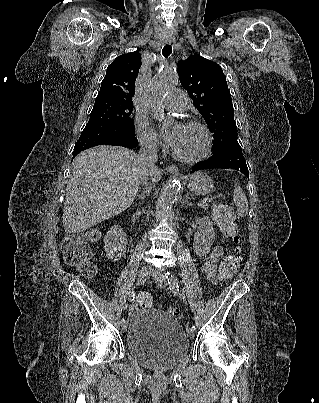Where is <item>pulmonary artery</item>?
<instances>
[{"instance_id": "1", "label": "pulmonary artery", "mask_w": 319, "mask_h": 403, "mask_svg": "<svg viewBox=\"0 0 319 403\" xmlns=\"http://www.w3.org/2000/svg\"><path fill=\"white\" fill-rule=\"evenodd\" d=\"M165 104L176 111H183L189 107L190 101L181 89H175L166 96Z\"/></svg>"}]
</instances>
